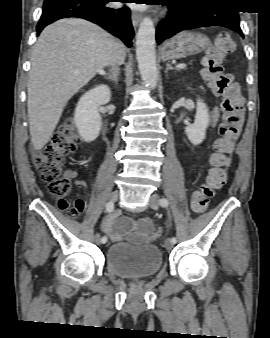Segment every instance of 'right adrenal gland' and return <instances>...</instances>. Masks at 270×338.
Segmentation results:
<instances>
[{"mask_svg":"<svg viewBox=\"0 0 270 338\" xmlns=\"http://www.w3.org/2000/svg\"><path fill=\"white\" fill-rule=\"evenodd\" d=\"M102 76H104L106 79L113 81L115 84L118 83L119 79V69H112L108 74L101 73Z\"/></svg>","mask_w":270,"mask_h":338,"instance_id":"obj_1","label":"right adrenal gland"}]
</instances>
